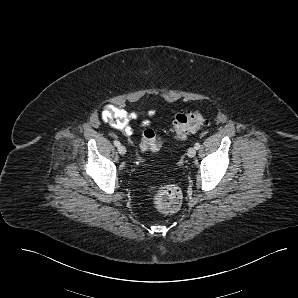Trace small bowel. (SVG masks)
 <instances>
[{"instance_id": "1", "label": "small bowel", "mask_w": 298, "mask_h": 298, "mask_svg": "<svg viewBox=\"0 0 298 298\" xmlns=\"http://www.w3.org/2000/svg\"><path fill=\"white\" fill-rule=\"evenodd\" d=\"M154 114V110L149 112L150 116ZM136 118L137 113L128 112L125 109L115 105H106L101 113V119L103 120V122L108 123L113 128L122 131L125 135H131L133 133L131 122ZM149 124V120L143 121L144 126H147Z\"/></svg>"}]
</instances>
